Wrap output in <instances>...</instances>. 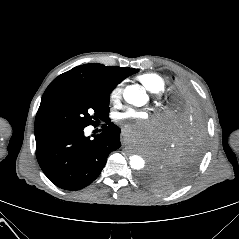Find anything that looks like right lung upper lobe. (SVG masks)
<instances>
[{
    "mask_svg": "<svg viewBox=\"0 0 239 239\" xmlns=\"http://www.w3.org/2000/svg\"><path fill=\"white\" fill-rule=\"evenodd\" d=\"M127 67L85 64L77 66L55 78L47 87L42 100L50 96L71 90L111 89L113 90L126 77L138 72Z\"/></svg>",
    "mask_w": 239,
    "mask_h": 239,
    "instance_id": "right-lung-upper-lobe-1",
    "label": "right lung upper lobe"
}]
</instances>
